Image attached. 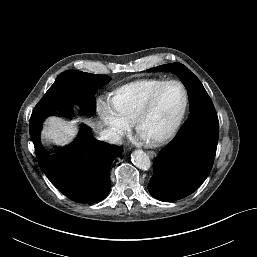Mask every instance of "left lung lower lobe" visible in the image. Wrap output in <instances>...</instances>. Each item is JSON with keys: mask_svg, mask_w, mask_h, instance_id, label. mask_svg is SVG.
Segmentation results:
<instances>
[{"mask_svg": "<svg viewBox=\"0 0 257 257\" xmlns=\"http://www.w3.org/2000/svg\"><path fill=\"white\" fill-rule=\"evenodd\" d=\"M197 137L171 141L161 150L148 185L153 197L175 201L193 193L204 182L215 158L218 130L204 128Z\"/></svg>", "mask_w": 257, "mask_h": 257, "instance_id": "1", "label": "left lung lower lobe"}]
</instances>
